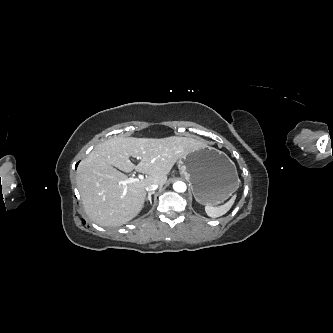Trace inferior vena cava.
<instances>
[{
	"mask_svg": "<svg viewBox=\"0 0 333 333\" xmlns=\"http://www.w3.org/2000/svg\"><path fill=\"white\" fill-rule=\"evenodd\" d=\"M158 186H159L158 184L153 183L146 187V191H148V192L155 191L158 188Z\"/></svg>",
	"mask_w": 333,
	"mask_h": 333,
	"instance_id": "inferior-vena-cava-1",
	"label": "inferior vena cava"
}]
</instances>
